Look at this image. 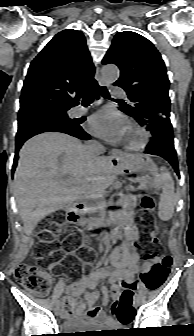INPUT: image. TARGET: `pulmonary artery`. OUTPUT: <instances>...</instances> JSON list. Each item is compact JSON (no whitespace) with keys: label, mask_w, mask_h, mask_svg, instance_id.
I'll return each mask as SVG.
<instances>
[{"label":"pulmonary artery","mask_w":194,"mask_h":336,"mask_svg":"<svg viewBox=\"0 0 194 336\" xmlns=\"http://www.w3.org/2000/svg\"><path fill=\"white\" fill-rule=\"evenodd\" d=\"M112 95L114 97H121V98H123V97H125V92L123 91L122 88L116 87V88L113 89ZM85 112H86L85 108H78L75 111L76 115H80V114L85 113Z\"/></svg>","instance_id":"1"}]
</instances>
